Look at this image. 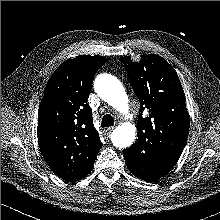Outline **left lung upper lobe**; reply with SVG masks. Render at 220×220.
Instances as JSON below:
<instances>
[{
  "label": "left lung upper lobe",
  "instance_id": "left-lung-upper-lobe-1",
  "mask_svg": "<svg viewBox=\"0 0 220 220\" xmlns=\"http://www.w3.org/2000/svg\"><path fill=\"white\" fill-rule=\"evenodd\" d=\"M139 62L129 56L125 65L133 91L140 100L138 139L131 146L142 161H158L173 167L189 133L185 94L173 67L159 55H142ZM148 115L144 117L143 111Z\"/></svg>",
  "mask_w": 220,
  "mask_h": 220
}]
</instances>
